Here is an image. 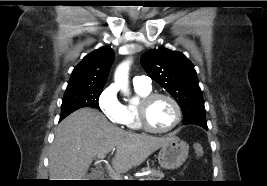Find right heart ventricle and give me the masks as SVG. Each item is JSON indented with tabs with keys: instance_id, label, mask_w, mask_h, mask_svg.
I'll list each match as a JSON object with an SVG mask.
<instances>
[{
	"instance_id": "1",
	"label": "right heart ventricle",
	"mask_w": 267,
	"mask_h": 186,
	"mask_svg": "<svg viewBox=\"0 0 267 186\" xmlns=\"http://www.w3.org/2000/svg\"><path fill=\"white\" fill-rule=\"evenodd\" d=\"M134 87L140 98L151 92V88ZM120 124L130 130L137 131L142 129L138 119V103H127L122 105Z\"/></svg>"
}]
</instances>
